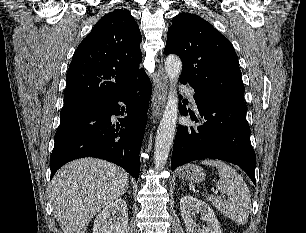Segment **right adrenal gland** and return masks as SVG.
I'll return each mask as SVG.
<instances>
[{
  "instance_id": "right-adrenal-gland-1",
  "label": "right adrenal gland",
  "mask_w": 306,
  "mask_h": 233,
  "mask_svg": "<svg viewBox=\"0 0 306 233\" xmlns=\"http://www.w3.org/2000/svg\"><path fill=\"white\" fill-rule=\"evenodd\" d=\"M127 193L130 194L131 192L129 190H127Z\"/></svg>"
}]
</instances>
